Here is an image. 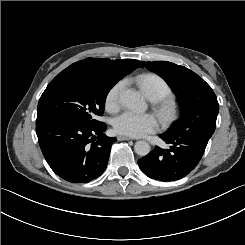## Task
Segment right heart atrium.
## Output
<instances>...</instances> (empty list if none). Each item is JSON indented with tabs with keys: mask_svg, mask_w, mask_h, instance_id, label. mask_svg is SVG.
<instances>
[{
	"mask_svg": "<svg viewBox=\"0 0 245 245\" xmlns=\"http://www.w3.org/2000/svg\"><path fill=\"white\" fill-rule=\"evenodd\" d=\"M122 88L123 83L119 81L109 89L105 99V106L109 111H114L119 108Z\"/></svg>",
	"mask_w": 245,
	"mask_h": 245,
	"instance_id": "1",
	"label": "right heart atrium"
}]
</instances>
